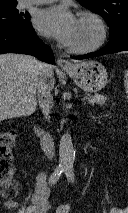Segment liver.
Here are the masks:
<instances>
[{
    "label": "liver",
    "mask_w": 128,
    "mask_h": 213,
    "mask_svg": "<svg viewBox=\"0 0 128 213\" xmlns=\"http://www.w3.org/2000/svg\"><path fill=\"white\" fill-rule=\"evenodd\" d=\"M38 64L35 58L28 55H0V121L35 112ZM47 81L53 88L55 79L52 66Z\"/></svg>",
    "instance_id": "liver-1"
}]
</instances>
